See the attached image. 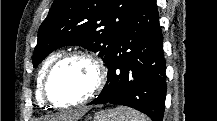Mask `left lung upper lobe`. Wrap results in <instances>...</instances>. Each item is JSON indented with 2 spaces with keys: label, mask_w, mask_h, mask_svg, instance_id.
<instances>
[{
  "label": "left lung upper lobe",
  "mask_w": 217,
  "mask_h": 121,
  "mask_svg": "<svg viewBox=\"0 0 217 121\" xmlns=\"http://www.w3.org/2000/svg\"><path fill=\"white\" fill-rule=\"evenodd\" d=\"M139 0H54L38 31L36 67L52 51L79 45L108 62Z\"/></svg>",
  "instance_id": "1"
}]
</instances>
